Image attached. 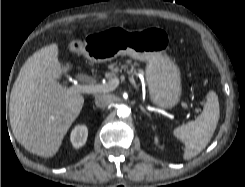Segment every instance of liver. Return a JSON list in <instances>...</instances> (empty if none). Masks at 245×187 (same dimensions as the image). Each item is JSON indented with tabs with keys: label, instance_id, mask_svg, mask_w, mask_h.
I'll return each instance as SVG.
<instances>
[{
	"label": "liver",
	"instance_id": "obj_1",
	"mask_svg": "<svg viewBox=\"0 0 245 187\" xmlns=\"http://www.w3.org/2000/svg\"><path fill=\"white\" fill-rule=\"evenodd\" d=\"M56 43L29 57L13 84L9 117L15 139L40 157L54 156L72 123L80 114L84 97L64 87L58 79L72 69L58 59Z\"/></svg>",
	"mask_w": 245,
	"mask_h": 187
}]
</instances>
